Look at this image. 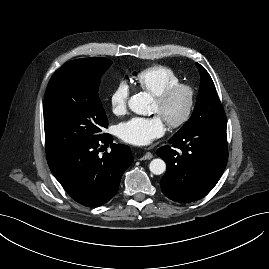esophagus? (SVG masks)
<instances>
[{
  "label": "esophagus",
  "mask_w": 269,
  "mask_h": 269,
  "mask_svg": "<svg viewBox=\"0 0 269 269\" xmlns=\"http://www.w3.org/2000/svg\"><path fill=\"white\" fill-rule=\"evenodd\" d=\"M152 158H153L152 153H150V152H146L140 159H141V160H150V159H152Z\"/></svg>",
  "instance_id": "esophagus-1"
}]
</instances>
